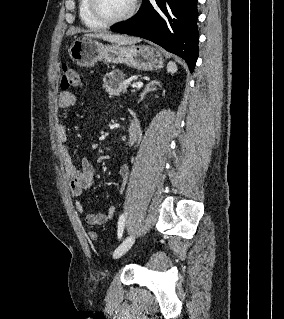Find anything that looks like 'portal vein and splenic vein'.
<instances>
[{"instance_id": "portal-vein-and-splenic-vein-1", "label": "portal vein and splenic vein", "mask_w": 284, "mask_h": 319, "mask_svg": "<svg viewBox=\"0 0 284 319\" xmlns=\"http://www.w3.org/2000/svg\"><path fill=\"white\" fill-rule=\"evenodd\" d=\"M133 88H141L143 87V82H135L131 85Z\"/></svg>"}]
</instances>
